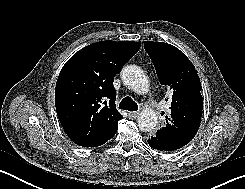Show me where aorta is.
Segmentation results:
<instances>
[{
	"instance_id": "aorta-1",
	"label": "aorta",
	"mask_w": 245,
	"mask_h": 189,
	"mask_svg": "<svg viewBox=\"0 0 245 189\" xmlns=\"http://www.w3.org/2000/svg\"><path fill=\"white\" fill-rule=\"evenodd\" d=\"M121 79L123 84L137 93H147L149 91L148 78L144 71L136 65L125 66L121 71ZM137 123L141 131L153 130L157 124L155 112L151 109L141 111Z\"/></svg>"
}]
</instances>
